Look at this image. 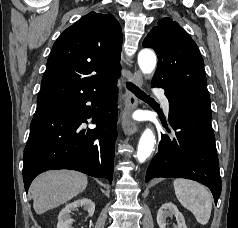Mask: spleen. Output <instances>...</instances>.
Instances as JSON below:
<instances>
[{
    "instance_id": "3e777b00",
    "label": "spleen",
    "mask_w": 238,
    "mask_h": 228,
    "mask_svg": "<svg viewBox=\"0 0 238 228\" xmlns=\"http://www.w3.org/2000/svg\"><path fill=\"white\" fill-rule=\"evenodd\" d=\"M174 189L178 201L193 213L198 223L206 225L212 210V195L200 183L178 178L174 180Z\"/></svg>"
}]
</instances>
